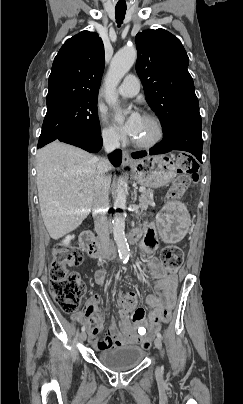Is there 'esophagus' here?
<instances>
[{"label":"esophagus","instance_id":"34e87169","mask_svg":"<svg viewBox=\"0 0 243 404\" xmlns=\"http://www.w3.org/2000/svg\"><path fill=\"white\" fill-rule=\"evenodd\" d=\"M133 161L130 158L129 152L127 150L123 151V159H122V164L123 165H128L131 164Z\"/></svg>","mask_w":243,"mask_h":404}]
</instances>
